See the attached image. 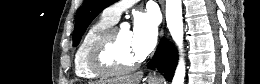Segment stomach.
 Wrapping results in <instances>:
<instances>
[{
  "label": "stomach",
  "mask_w": 260,
  "mask_h": 84,
  "mask_svg": "<svg viewBox=\"0 0 260 84\" xmlns=\"http://www.w3.org/2000/svg\"><path fill=\"white\" fill-rule=\"evenodd\" d=\"M148 84H154V83H152V82H149Z\"/></svg>",
  "instance_id": "1"
}]
</instances>
